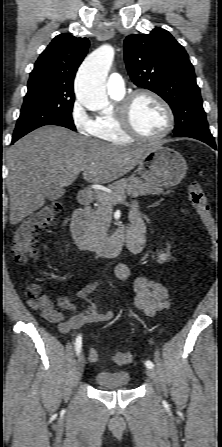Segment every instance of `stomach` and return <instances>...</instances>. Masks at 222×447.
I'll return each instance as SVG.
<instances>
[{
	"label": "stomach",
	"mask_w": 222,
	"mask_h": 447,
	"mask_svg": "<svg viewBox=\"0 0 222 447\" xmlns=\"http://www.w3.org/2000/svg\"><path fill=\"white\" fill-rule=\"evenodd\" d=\"M139 175L147 182L159 187H172L179 184L187 172L183 156L172 148L153 146L138 164Z\"/></svg>",
	"instance_id": "1"
}]
</instances>
